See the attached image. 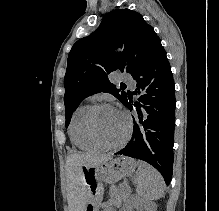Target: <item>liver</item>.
I'll list each match as a JSON object with an SVG mask.
<instances>
[{
  "label": "liver",
  "instance_id": "1",
  "mask_svg": "<svg viewBox=\"0 0 219 211\" xmlns=\"http://www.w3.org/2000/svg\"><path fill=\"white\" fill-rule=\"evenodd\" d=\"M111 155H86V153H71L66 161L67 171V201L69 211H84L87 195L82 185L80 165H97L102 161H108Z\"/></svg>",
  "mask_w": 219,
  "mask_h": 211
}]
</instances>
